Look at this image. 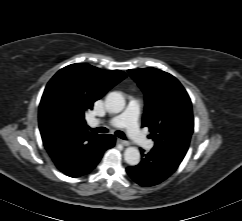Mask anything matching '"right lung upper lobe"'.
Listing matches in <instances>:
<instances>
[{
    "label": "right lung upper lobe",
    "instance_id": "right-lung-upper-lobe-1",
    "mask_svg": "<svg viewBox=\"0 0 242 221\" xmlns=\"http://www.w3.org/2000/svg\"><path fill=\"white\" fill-rule=\"evenodd\" d=\"M120 70L106 71L76 63L59 70L48 82L39 105L43 144L57 164L64 163L98 135L84 128L93 103L126 78Z\"/></svg>",
    "mask_w": 242,
    "mask_h": 221
}]
</instances>
